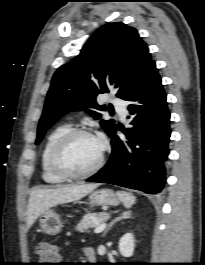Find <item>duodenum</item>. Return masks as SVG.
<instances>
[{"mask_svg": "<svg viewBox=\"0 0 205 265\" xmlns=\"http://www.w3.org/2000/svg\"><path fill=\"white\" fill-rule=\"evenodd\" d=\"M86 256H87L89 261H95L96 254H95V251H94V249L92 247H88L86 249Z\"/></svg>", "mask_w": 205, "mask_h": 265, "instance_id": "duodenum-1", "label": "duodenum"}]
</instances>
